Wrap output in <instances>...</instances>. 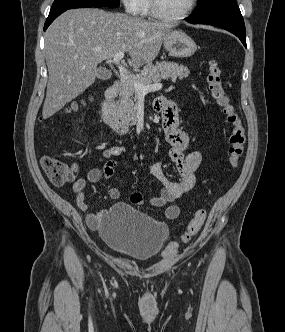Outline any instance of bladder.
Masks as SVG:
<instances>
[{
  "mask_svg": "<svg viewBox=\"0 0 285 332\" xmlns=\"http://www.w3.org/2000/svg\"><path fill=\"white\" fill-rule=\"evenodd\" d=\"M99 233L114 252L135 261L160 254L169 236L166 224L126 203L103 214Z\"/></svg>",
  "mask_w": 285,
  "mask_h": 332,
  "instance_id": "obj_1",
  "label": "bladder"
}]
</instances>
